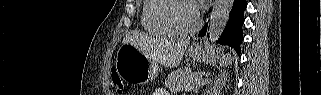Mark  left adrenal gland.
I'll list each match as a JSON object with an SVG mask.
<instances>
[{"label":"left adrenal gland","instance_id":"1","mask_svg":"<svg viewBox=\"0 0 321 95\" xmlns=\"http://www.w3.org/2000/svg\"><path fill=\"white\" fill-rule=\"evenodd\" d=\"M224 85H225V79L223 80L222 77H221V79H218V80L214 81V84H213V90L214 91L213 92L218 91Z\"/></svg>","mask_w":321,"mask_h":95}]
</instances>
